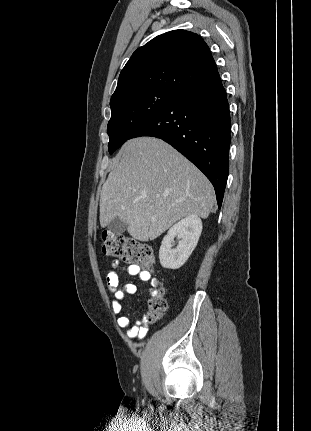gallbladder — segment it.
Instances as JSON below:
<instances>
[{"mask_svg":"<svg viewBox=\"0 0 311 431\" xmlns=\"http://www.w3.org/2000/svg\"><path fill=\"white\" fill-rule=\"evenodd\" d=\"M108 229H111L114 233H123V231H126L127 225L124 221H121L119 217H114V219L108 223Z\"/></svg>","mask_w":311,"mask_h":431,"instance_id":"1","label":"gallbladder"}]
</instances>
